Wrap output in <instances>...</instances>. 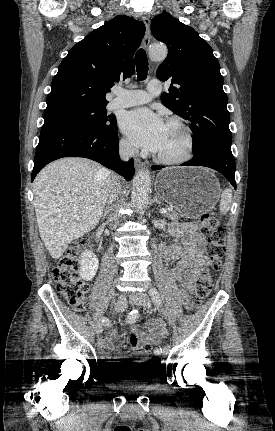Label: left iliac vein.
Returning <instances> with one entry per match:
<instances>
[{"label":"left iliac vein","instance_id":"4c4485c4","mask_svg":"<svg viewBox=\"0 0 275 431\" xmlns=\"http://www.w3.org/2000/svg\"><path fill=\"white\" fill-rule=\"evenodd\" d=\"M131 302L134 303V304H137V305H141L144 308H148L149 309L151 307L150 298L144 292H138V293H135L134 295H132L131 296ZM170 349H171L170 346H168V345L165 346L163 348L162 355L163 356H167L169 354V352H170Z\"/></svg>","mask_w":275,"mask_h":431}]
</instances>
